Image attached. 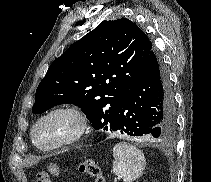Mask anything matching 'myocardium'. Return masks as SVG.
Here are the masks:
<instances>
[{
	"instance_id": "myocardium-1",
	"label": "myocardium",
	"mask_w": 211,
	"mask_h": 182,
	"mask_svg": "<svg viewBox=\"0 0 211 182\" xmlns=\"http://www.w3.org/2000/svg\"><path fill=\"white\" fill-rule=\"evenodd\" d=\"M56 114H68L71 115L72 117H74V119L77 122V126L75 128V130L70 133L68 136H66L64 139L53 143V144H49V145H42L40 144L35 137V132L38 128V126L47 118L56 115ZM89 118L87 116V114L80 108L75 107V106H71V105H66V106H58L55 107L51 110H49L48 112H46L45 114H43L42 116H40L36 122L34 123L32 129H31V133H30V137L33 141V143L41 150H53V149H57L60 147H63L65 145L71 144L73 142H75L76 140L80 139L88 130L89 128Z\"/></svg>"
}]
</instances>
